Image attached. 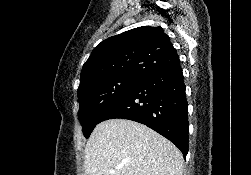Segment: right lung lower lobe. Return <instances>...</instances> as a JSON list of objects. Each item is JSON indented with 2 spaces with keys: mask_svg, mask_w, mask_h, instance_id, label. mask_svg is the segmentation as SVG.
Wrapping results in <instances>:
<instances>
[{
  "mask_svg": "<svg viewBox=\"0 0 251 175\" xmlns=\"http://www.w3.org/2000/svg\"><path fill=\"white\" fill-rule=\"evenodd\" d=\"M142 123L172 141L186 157L189 123L182 68L178 65L142 78L100 118Z\"/></svg>",
  "mask_w": 251,
  "mask_h": 175,
  "instance_id": "obj_1",
  "label": "right lung lower lobe"
}]
</instances>
